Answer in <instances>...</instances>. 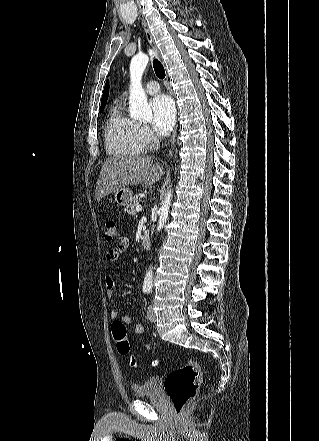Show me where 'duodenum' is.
I'll list each match as a JSON object with an SVG mask.
<instances>
[{
  "mask_svg": "<svg viewBox=\"0 0 319 441\" xmlns=\"http://www.w3.org/2000/svg\"><path fill=\"white\" fill-rule=\"evenodd\" d=\"M141 243L142 246L145 249H149L150 245H151V239H150V233L149 232H144L141 236Z\"/></svg>",
  "mask_w": 319,
  "mask_h": 441,
  "instance_id": "duodenum-1",
  "label": "duodenum"
}]
</instances>
